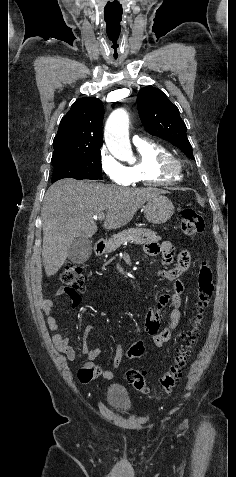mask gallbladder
I'll return each instance as SVG.
<instances>
[{
	"instance_id": "1",
	"label": "gallbladder",
	"mask_w": 236,
	"mask_h": 477,
	"mask_svg": "<svg viewBox=\"0 0 236 477\" xmlns=\"http://www.w3.org/2000/svg\"><path fill=\"white\" fill-rule=\"evenodd\" d=\"M92 254V241L89 238H76L69 248L68 258L74 263L86 262Z\"/></svg>"
}]
</instances>
